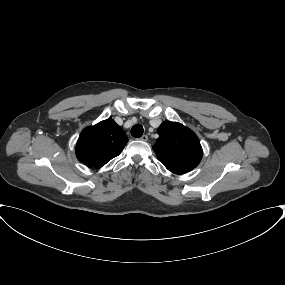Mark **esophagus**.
<instances>
[{
  "mask_svg": "<svg viewBox=\"0 0 285 285\" xmlns=\"http://www.w3.org/2000/svg\"><path fill=\"white\" fill-rule=\"evenodd\" d=\"M141 141H147L148 140V136L147 135H143L140 138Z\"/></svg>",
  "mask_w": 285,
  "mask_h": 285,
  "instance_id": "34e87169",
  "label": "esophagus"
}]
</instances>
